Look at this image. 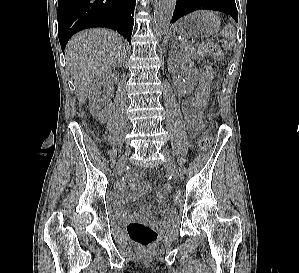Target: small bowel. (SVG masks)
<instances>
[{
	"label": "small bowel",
	"instance_id": "obj_1",
	"mask_svg": "<svg viewBox=\"0 0 299 273\" xmlns=\"http://www.w3.org/2000/svg\"><path fill=\"white\" fill-rule=\"evenodd\" d=\"M184 117L187 123V127L192 135L196 133L200 127V115L196 111V102L193 98L188 97L185 99L182 105ZM144 174L135 173L132 174L120 188L117 193V201L120 208V212L123 214L128 213L126 203L134 200L137 194L133 192V189H137L140 193L150 192V187L143 181ZM171 187L169 185L162 186L157 192V199L160 202V214L166 220H171L175 216L173 208L165 206L164 202L167 199ZM137 219L154 221L155 219L151 215V210L148 206H142L138 213L135 215Z\"/></svg>",
	"mask_w": 299,
	"mask_h": 273
}]
</instances>
